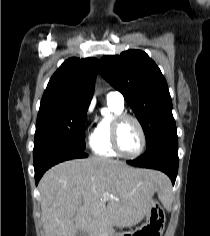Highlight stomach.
<instances>
[{"label":"stomach","mask_w":210,"mask_h":236,"mask_svg":"<svg viewBox=\"0 0 210 236\" xmlns=\"http://www.w3.org/2000/svg\"><path fill=\"white\" fill-rule=\"evenodd\" d=\"M164 228V210L157 200L151 198L147 206L145 223L135 231L126 233L125 236H162Z\"/></svg>","instance_id":"1"}]
</instances>
